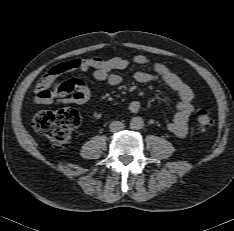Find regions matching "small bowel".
I'll list each match as a JSON object with an SVG mask.
<instances>
[{
    "instance_id": "small-bowel-1",
    "label": "small bowel",
    "mask_w": 234,
    "mask_h": 231,
    "mask_svg": "<svg viewBox=\"0 0 234 231\" xmlns=\"http://www.w3.org/2000/svg\"><path fill=\"white\" fill-rule=\"evenodd\" d=\"M78 69L81 71L93 70V76L98 81H105L110 86H119L122 77L114 73L116 70L128 68L131 64L149 67L152 72L136 71L134 80L141 84L160 82L178 95L177 112L172 121L167 123V129L176 137L184 138L188 133V120L193 112V91L187 82L173 72L167 65L152 61L145 55H134L130 58L112 57L102 59L91 57L81 59ZM61 65L51 68L37 83L35 87L34 103L48 105L53 101L61 103L84 104L91 98V90L82 79H72L62 84L57 93L50 91L54 80L61 74ZM140 108L138 101H131L128 105L130 112H137Z\"/></svg>"
}]
</instances>
